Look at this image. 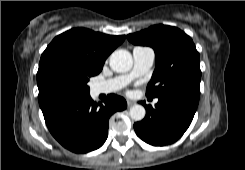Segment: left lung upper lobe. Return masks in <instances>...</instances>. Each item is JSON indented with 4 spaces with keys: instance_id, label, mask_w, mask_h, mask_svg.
Returning a JSON list of instances; mask_svg holds the SVG:
<instances>
[{
    "instance_id": "5c2ea615",
    "label": "left lung upper lobe",
    "mask_w": 245,
    "mask_h": 170,
    "mask_svg": "<svg viewBox=\"0 0 245 170\" xmlns=\"http://www.w3.org/2000/svg\"><path fill=\"white\" fill-rule=\"evenodd\" d=\"M135 45L150 46L155 51L156 66L146 95L169 94L200 97V57L192 39L176 27L155 25L127 36Z\"/></svg>"
}]
</instances>
